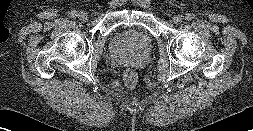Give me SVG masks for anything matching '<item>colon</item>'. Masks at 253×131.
I'll return each instance as SVG.
<instances>
[{
  "label": "colon",
  "mask_w": 253,
  "mask_h": 131,
  "mask_svg": "<svg viewBox=\"0 0 253 131\" xmlns=\"http://www.w3.org/2000/svg\"><path fill=\"white\" fill-rule=\"evenodd\" d=\"M124 79L127 85L134 86L137 81V75L132 69H127L124 73Z\"/></svg>",
  "instance_id": "colon-1"
}]
</instances>
